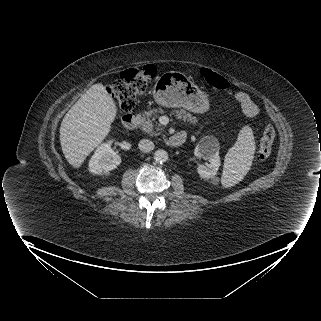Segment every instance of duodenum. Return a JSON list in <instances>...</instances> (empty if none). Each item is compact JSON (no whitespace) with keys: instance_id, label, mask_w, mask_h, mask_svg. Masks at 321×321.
Listing matches in <instances>:
<instances>
[{"instance_id":"duodenum-1","label":"duodenum","mask_w":321,"mask_h":321,"mask_svg":"<svg viewBox=\"0 0 321 321\" xmlns=\"http://www.w3.org/2000/svg\"><path fill=\"white\" fill-rule=\"evenodd\" d=\"M122 124L127 130H132L137 125V117L133 114H125L122 117ZM186 140L183 134H175L167 137L166 143L171 147H178L182 145Z\"/></svg>"}]
</instances>
